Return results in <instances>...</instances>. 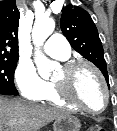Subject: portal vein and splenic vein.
I'll list each match as a JSON object with an SVG mask.
<instances>
[{
  "label": "portal vein and splenic vein",
  "mask_w": 117,
  "mask_h": 131,
  "mask_svg": "<svg viewBox=\"0 0 117 131\" xmlns=\"http://www.w3.org/2000/svg\"><path fill=\"white\" fill-rule=\"evenodd\" d=\"M9 123L11 124V123H13V121H10Z\"/></svg>",
  "instance_id": "1"
}]
</instances>
